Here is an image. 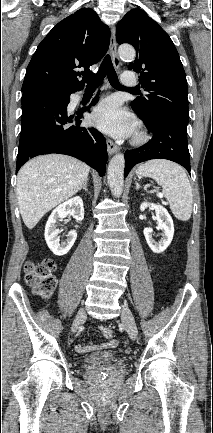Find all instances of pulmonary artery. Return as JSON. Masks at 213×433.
<instances>
[{
	"label": "pulmonary artery",
	"instance_id": "e3ab8cb5",
	"mask_svg": "<svg viewBox=\"0 0 213 433\" xmlns=\"http://www.w3.org/2000/svg\"><path fill=\"white\" fill-rule=\"evenodd\" d=\"M121 81L123 86L126 87L135 86L137 83L134 73L129 71L123 73ZM78 98H81V96H79Z\"/></svg>",
	"mask_w": 213,
	"mask_h": 433
}]
</instances>
